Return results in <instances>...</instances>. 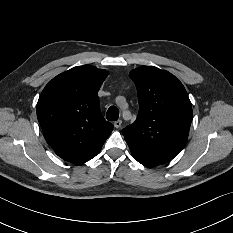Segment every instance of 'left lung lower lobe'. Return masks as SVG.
I'll use <instances>...</instances> for the list:
<instances>
[{
	"label": "left lung lower lobe",
	"instance_id": "left-lung-lower-lobe-1",
	"mask_svg": "<svg viewBox=\"0 0 233 233\" xmlns=\"http://www.w3.org/2000/svg\"><path fill=\"white\" fill-rule=\"evenodd\" d=\"M127 144L129 145V148L131 150V153L133 155V157L141 164L147 166V167H155L161 164H165L167 163L169 160V158L157 155L155 153L149 152L145 149H142L141 147L127 142Z\"/></svg>",
	"mask_w": 233,
	"mask_h": 233
}]
</instances>
